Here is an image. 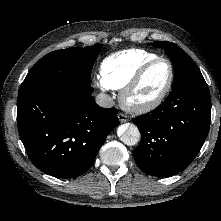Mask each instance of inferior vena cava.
Instances as JSON below:
<instances>
[{"mask_svg":"<svg viewBox=\"0 0 221 221\" xmlns=\"http://www.w3.org/2000/svg\"><path fill=\"white\" fill-rule=\"evenodd\" d=\"M96 103L104 108H110L114 105L113 99L104 93L98 94L96 97Z\"/></svg>","mask_w":221,"mask_h":221,"instance_id":"inferior-vena-cava-1","label":"inferior vena cava"}]
</instances>
